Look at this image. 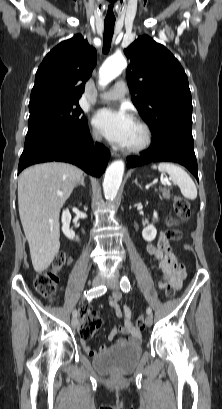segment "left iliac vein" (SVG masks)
Masks as SVG:
<instances>
[{
  "mask_svg": "<svg viewBox=\"0 0 222 409\" xmlns=\"http://www.w3.org/2000/svg\"><path fill=\"white\" fill-rule=\"evenodd\" d=\"M107 285L113 290H118L119 289V281H118L117 278L109 279L107 281ZM152 323H153L152 316L151 315L147 316L146 319H145L146 326L150 327L152 325Z\"/></svg>",
  "mask_w": 222,
  "mask_h": 409,
  "instance_id": "left-iliac-vein-1",
  "label": "left iliac vein"
}]
</instances>
